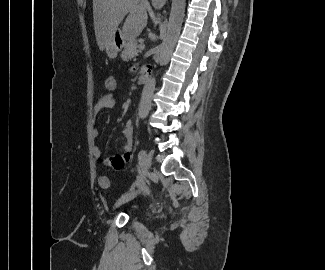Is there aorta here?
Here are the masks:
<instances>
[{
    "instance_id": "aorta-1",
    "label": "aorta",
    "mask_w": 325,
    "mask_h": 270,
    "mask_svg": "<svg viewBox=\"0 0 325 270\" xmlns=\"http://www.w3.org/2000/svg\"><path fill=\"white\" fill-rule=\"evenodd\" d=\"M186 0H172V7L167 26L165 38L160 46L159 64L161 66L168 63L171 53L180 35L181 26L184 18ZM156 80L150 78L146 82L139 105V116L144 118L151 108V100L155 90Z\"/></svg>"
}]
</instances>
